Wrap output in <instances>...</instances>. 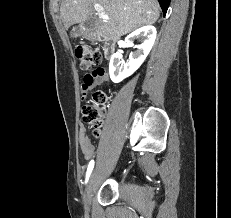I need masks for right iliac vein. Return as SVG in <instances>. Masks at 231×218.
I'll list each match as a JSON object with an SVG mask.
<instances>
[{
  "instance_id": "1",
  "label": "right iliac vein",
  "mask_w": 231,
  "mask_h": 218,
  "mask_svg": "<svg viewBox=\"0 0 231 218\" xmlns=\"http://www.w3.org/2000/svg\"><path fill=\"white\" fill-rule=\"evenodd\" d=\"M94 182H95V171H93V173L90 176V179H89V182L85 190V194H84V204L87 209L90 207V204H91L92 194L94 190Z\"/></svg>"
}]
</instances>
